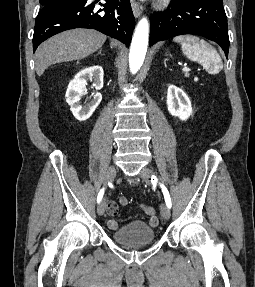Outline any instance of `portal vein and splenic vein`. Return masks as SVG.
I'll return each mask as SVG.
<instances>
[{
	"mask_svg": "<svg viewBox=\"0 0 255 287\" xmlns=\"http://www.w3.org/2000/svg\"><path fill=\"white\" fill-rule=\"evenodd\" d=\"M182 72H190V68H186V64H184Z\"/></svg>",
	"mask_w": 255,
	"mask_h": 287,
	"instance_id": "portal-vein-and-splenic-vein-1",
	"label": "portal vein and splenic vein"
}]
</instances>
